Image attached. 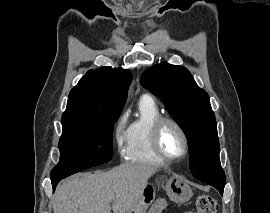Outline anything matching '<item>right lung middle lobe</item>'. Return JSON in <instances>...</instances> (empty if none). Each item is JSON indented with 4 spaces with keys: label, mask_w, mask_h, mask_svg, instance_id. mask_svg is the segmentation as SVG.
Segmentation results:
<instances>
[{
    "label": "right lung middle lobe",
    "mask_w": 270,
    "mask_h": 213,
    "mask_svg": "<svg viewBox=\"0 0 270 213\" xmlns=\"http://www.w3.org/2000/svg\"><path fill=\"white\" fill-rule=\"evenodd\" d=\"M119 114L62 118L60 160L50 178L69 176L109 161L113 154V124Z\"/></svg>",
    "instance_id": "right-lung-middle-lobe-1"
}]
</instances>
